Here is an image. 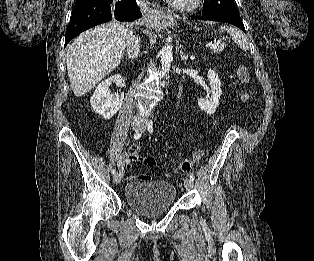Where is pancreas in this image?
I'll return each mask as SVG.
<instances>
[{
	"instance_id": "pancreas-1",
	"label": "pancreas",
	"mask_w": 314,
	"mask_h": 261,
	"mask_svg": "<svg viewBox=\"0 0 314 261\" xmlns=\"http://www.w3.org/2000/svg\"><path fill=\"white\" fill-rule=\"evenodd\" d=\"M225 46H226L225 44H220V45H218V47H216L215 49H213V52H214V53L221 52V51L224 50Z\"/></svg>"
}]
</instances>
